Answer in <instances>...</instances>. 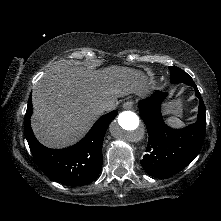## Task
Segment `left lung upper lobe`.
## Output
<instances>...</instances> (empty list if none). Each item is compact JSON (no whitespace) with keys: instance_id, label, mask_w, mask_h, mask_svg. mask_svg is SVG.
<instances>
[{"instance_id":"left-lung-upper-lobe-1","label":"left lung upper lobe","mask_w":221,"mask_h":221,"mask_svg":"<svg viewBox=\"0 0 221 221\" xmlns=\"http://www.w3.org/2000/svg\"><path fill=\"white\" fill-rule=\"evenodd\" d=\"M169 69L171 71V83L187 84L189 81H192V78L182 69L176 66H170Z\"/></svg>"}]
</instances>
